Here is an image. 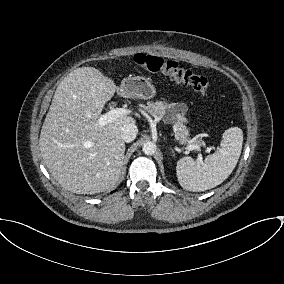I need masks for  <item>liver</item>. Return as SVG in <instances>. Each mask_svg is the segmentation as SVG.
<instances>
[{
	"mask_svg": "<svg viewBox=\"0 0 284 284\" xmlns=\"http://www.w3.org/2000/svg\"><path fill=\"white\" fill-rule=\"evenodd\" d=\"M117 89L93 67L77 68L58 85L43 123L39 145L44 164L66 190L95 194L118 183L125 153L121 127L135 123L122 116L97 122Z\"/></svg>",
	"mask_w": 284,
	"mask_h": 284,
	"instance_id": "obj_1",
	"label": "liver"
}]
</instances>
